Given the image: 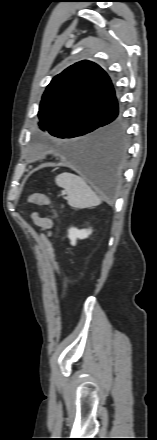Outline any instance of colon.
I'll return each instance as SVG.
<instances>
[{"label":"colon","instance_id":"1","mask_svg":"<svg viewBox=\"0 0 157 440\" xmlns=\"http://www.w3.org/2000/svg\"><path fill=\"white\" fill-rule=\"evenodd\" d=\"M28 202L31 204H35V205L44 206V205L50 204V199L47 196H45L44 194L33 193L28 197ZM43 247H44L46 257L49 261V264L52 267L55 275L58 278L59 298H60V301L63 303L65 300V296H66V282L61 277L60 267H59V264H58L56 257H55L52 242L49 238H46V237L44 238Z\"/></svg>","mask_w":157,"mask_h":440}]
</instances>
